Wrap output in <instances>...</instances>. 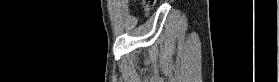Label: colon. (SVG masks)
Wrapping results in <instances>:
<instances>
[{
  "mask_svg": "<svg viewBox=\"0 0 279 82\" xmlns=\"http://www.w3.org/2000/svg\"><path fill=\"white\" fill-rule=\"evenodd\" d=\"M133 2H138L142 5H144L147 10H149L153 6V3H154L153 0H139V1H133Z\"/></svg>",
  "mask_w": 279,
  "mask_h": 82,
  "instance_id": "obj_1",
  "label": "colon"
}]
</instances>
